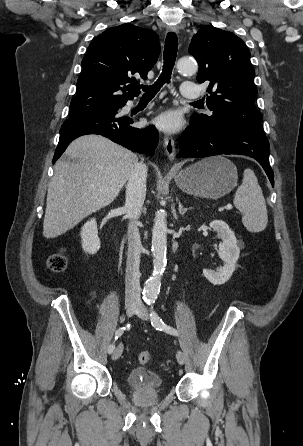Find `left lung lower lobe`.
Instances as JSON below:
<instances>
[{
    "label": "left lung lower lobe",
    "instance_id": "0a47b994",
    "mask_svg": "<svg viewBox=\"0 0 303 446\" xmlns=\"http://www.w3.org/2000/svg\"><path fill=\"white\" fill-rule=\"evenodd\" d=\"M179 141L182 157H208L220 154H241L256 159L274 186V175L269 163L270 147L266 137L244 133L220 124H201L190 120Z\"/></svg>",
    "mask_w": 303,
    "mask_h": 446
}]
</instances>
